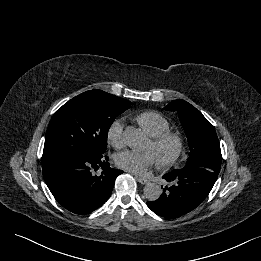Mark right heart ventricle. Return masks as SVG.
Returning <instances> with one entry per match:
<instances>
[{
	"mask_svg": "<svg viewBox=\"0 0 261 261\" xmlns=\"http://www.w3.org/2000/svg\"><path fill=\"white\" fill-rule=\"evenodd\" d=\"M136 122L150 136L155 137L169 130L168 120L157 111H145L135 117Z\"/></svg>",
	"mask_w": 261,
	"mask_h": 261,
	"instance_id": "e07e8e85",
	"label": "right heart ventricle"
}]
</instances>
